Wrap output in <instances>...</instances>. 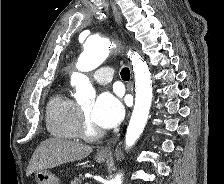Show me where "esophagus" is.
Here are the masks:
<instances>
[{"label": "esophagus", "instance_id": "34e87169", "mask_svg": "<svg viewBox=\"0 0 224 184\" xmlns=\"http://www.w3.org/2000/svg\"><path fill=\"white\" fill-rule=\"evenodd\" d=\"M111 6H112V10H113L115 20H116L118 26L120 27V29L122 31V29H123L122 17L120 15L117 7L113 3H111ZM132 88H133V86H132ZM110 153H111V147L110 146L109 147H104V148H102L98 151V155H100V156H108V155H110Z\"/></svg>", "mask_w": 224, "mask_h": 184}]
</instances>
